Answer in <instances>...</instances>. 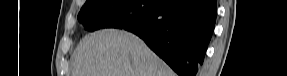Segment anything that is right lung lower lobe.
Masks as SVG:
<instances>
[{"label":"right lung lower lobe","instance_id":"98d812e1","mask_svg":"<svg viewBox=\"0 0 287 76\" xmlns=\"http://www.w3.org/2000/svg\"><path fill=\"white\" fill-rule=\"evenodd\" d=\"M216 21V0H158L152 15L123 29L140 38L179 76H196Z\"/></svg>","mask_w":287,"mask_h":76}]
</instances>
